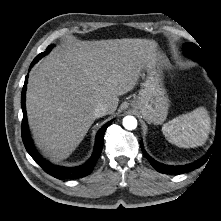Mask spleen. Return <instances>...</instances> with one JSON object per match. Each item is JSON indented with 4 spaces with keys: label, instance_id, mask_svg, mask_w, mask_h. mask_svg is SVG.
Masks as SVG:
<instances>
[{
    "label": "spleen",
    "instance_id": "spleen-1",
    "mask_svg": "<svg viewBox=\"0 0 221 221\" xmlns=\"http://www.w3.org/2000/svg\"><path fill=\"white\" fill-rule=\"evenodd\" d=\"M210 124L207 110L198 107L165 123L162 132L168 142L181 148H192L202 146L206 142Z\"/></svg>",
    "mask_w": 221,
    "mask_h": 221
}]
</instances>
